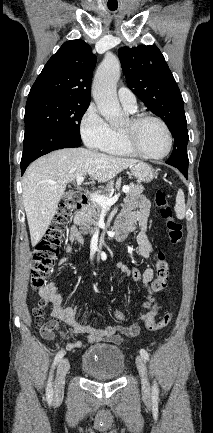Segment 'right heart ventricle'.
Returning a JSON list of instances; mask_svg holds the SVG:
<instances>
[{
  "instance_id": "1",
  "label": "right heart ventricle",
  "mask_w": 213,
  "mask_h": 433,
  "mask_svg": "<svg viewBox=\"0 0 213 433\" xmlns=\"http://www.w3.org/2000/svg\"><path fill=\"white\" fill-rule=\"evenodd\" d=\"M129 112H135L127 109ZM103 152L115 156H133L134 154L125 145L121 130L112 129L111 136L106 145L101 149Z\"/></svg>"
}]
</instances>
